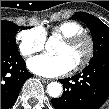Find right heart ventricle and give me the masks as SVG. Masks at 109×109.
Wrapping results in <instances>:
<instances>
[{"instance_id":"obj_1","label":"right heart ventricle","mask_w":109,"mask_h":109,"mask_svg":"<svg viewBox=\"0 0 109 109\" xmlns=\"http://www.w3.org/2000/svg\"><path fill=\"white\" fill-rule=\"evenodd\" d=\"M45 35L66 38L84 31V27L76 21H65L52 25L48 28L40 27Z\"/></svg>"}]
</instances>
